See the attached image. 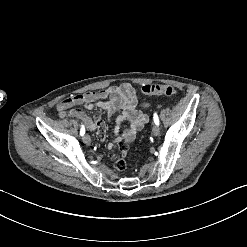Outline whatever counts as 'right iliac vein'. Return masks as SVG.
<instances>
[{"label": "right iliac vein", "mask_w": 247, "mask_h": 247, "mask_svg": "<svg viewBox=\"0 0 247 247\" xmlns=\"http://www.w3.org/2000/svg\"><path fill=\"white\" fill-rule=\"evenodd\" d=\"M83 142L87 145H90L91 144V137L88 134L84 135Z\"/></svg>", "instance_id": "63e3f726"}]
</instances>
